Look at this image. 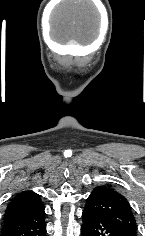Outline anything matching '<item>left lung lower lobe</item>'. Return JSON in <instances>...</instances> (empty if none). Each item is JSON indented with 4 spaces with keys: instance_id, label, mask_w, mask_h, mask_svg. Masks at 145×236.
I'll return each instance as SVG.
<instances>
[{
    "instance_id": "left-lung-lower-lobe-1",
    "label": "left lung lower lobe",
    "mask_w": 145,
    "mask_h": 236,
    "mask_svg": "<svg viewBox=\"0 0 145 236\" xmlns=\"http://www.w3.org/2000/svg\"><path fill=\"white\" fill-rule=\"evenodd\" d=\"M82 218V236H127L117 226L88 209L83 211Z\"/></svg>"
}]
</instances>
